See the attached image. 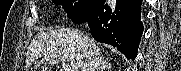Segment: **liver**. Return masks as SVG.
Wrapping results in <instances>:
<instances>
[{"mask_svg": "<svg viewBox=\"0 0 181 71\" xmlns=\"http://www.w3.org/2000/svg\"><path fill=\"white\" fill-rule=\"evenodd\" d=\"M39 58L48 59L51 64L65 60L72 71H84L87 52L82 35L75 30L65 28L39 33L28 47L27 69ZM41 71H49L48 66L43 67Z\"/></svg>", "mask_w": 181, "mask_h": 71, "instance_id": "1", "label": "liver"}]
</instances>
